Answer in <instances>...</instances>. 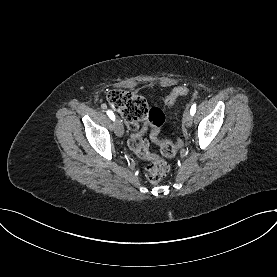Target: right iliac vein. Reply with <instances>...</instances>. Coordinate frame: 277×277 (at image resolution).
I'll return each instance as SVG.
<instances>
[{
	"instance_id": "right-iliac-vein-1",
	"label": "right iliac vein",
	"mask_w": 277,
	"mask_h": 277,
	"mask_svg": "<svg viewBox=\"0 0 277 277\" xmlns=\"http://www.w3.org/2000/svg\"><path fill=\"white\" fill-rule=\"evenodd\" d=\"M114 131H115V134H116L118 137L123 136L124 129H123V125H122V123H121V120H120L119 118L115 121V124H114Z\"/></svg>"
}]
</instances>
